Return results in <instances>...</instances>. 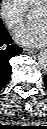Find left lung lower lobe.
I'll list each match as a JSON object with an SVG mask.
<instances>
[{
  "label": "left lung lower lobe",
  "instance_id": "left-lung-lower-lobe-1",
  "mask_svg": "<svg viewBox=\"0 0 47 129\" xmlns=\"http://www.w3.org/2000/svg\"><path fill=\"white\" fill-rule=\"evenodd\" d=\"M44 83H45V86L47 88V75H45V77H44Z\"/></svg>",
  "mask_w": 47,
  "mask_h": 129
}]
</instances>
